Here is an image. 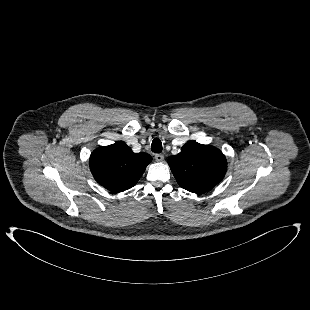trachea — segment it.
Returning a JSON list of instances; mask_svg holds the SVG:
<instances>
[{
	"instance_id": "1",
	"label": "trachea",
	"mask_w": 310,
	"mask_h": 310,
	"mask_svg": "<svg viewBox=\"0 0 310 310\" xmlns=\"http://www.w3.org/2000/svg\"><path fill=\"white\" fill-rule=\"evenodd\" d=\"M151 150H152L154 153H161V152H162V143H161L160 139L155 138V139L152 141Z\"/></svg>"
}]
</instances>
